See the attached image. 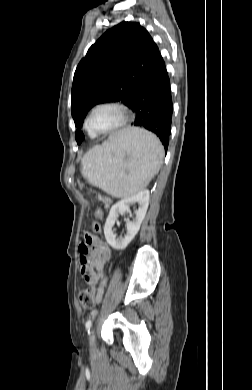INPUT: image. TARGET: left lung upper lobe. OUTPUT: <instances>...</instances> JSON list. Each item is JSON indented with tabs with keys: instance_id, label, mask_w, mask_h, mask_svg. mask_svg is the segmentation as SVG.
<instances>
[{
	"instance_id": "1",
	"label": "left lung upper lobe",
	"mask_w": 252,
	"mask_h": 390,
	"mask_svg": "<svg viewBox=\"0 0 252 390\" xmlns=\"http://www.w3.org/2000/svg\"><path fill=\"white\" fill-rule=\"evenodd\" d=\"M160 57L156 43L139 23L121 22L107 30L76 68L71 92L75 125L81 127L96 104L121 101L128 106ZM75 137L78 144L84 139L80 131Z\"/></svg>"
}]
</instances>
